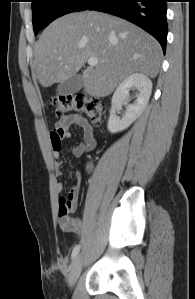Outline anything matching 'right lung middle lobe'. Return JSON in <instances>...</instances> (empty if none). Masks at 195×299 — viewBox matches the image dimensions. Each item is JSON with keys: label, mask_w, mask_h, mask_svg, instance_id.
I'll return each instance as SVG.
<instances>
[{"label": "right lung middle lobe", "mask_w": 195, "mask_h": 299, "mask_svg": "<svg viewBox=\"0 0 195 299\" xmlns=\"http://www.w3.org/2000/svg\"><path fill=\"white\" fill-rule=\"evenodd\" d=\"M35 35L56 18L83 11L92 0H31Z\"/></svg>", "instance_id": "right-lung-middle-lobe-1"}]
</instances>
